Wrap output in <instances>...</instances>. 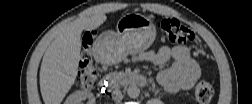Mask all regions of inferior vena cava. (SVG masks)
I'll return each mask as SVG.
<instances>
[{
	"label": "inferior vena cava",
	"instance_id": "602c4592",
	"mask_svg": "<svg viewBox=\"0 0 252 104\" xmlns=\"http://www.w3.org/2000/svg\"><path fill=\"white\" fill-rule=\"evenodd\" d=\"M112 99L117 103H119L123 99V95L119 88H116L115 90H113Z\"/></svg>",
	"mask_w": 252,
	"mask_h": 104
}]
</instances>
